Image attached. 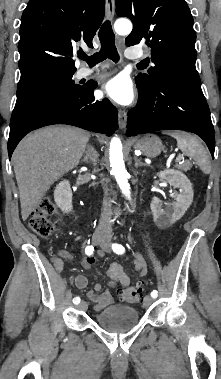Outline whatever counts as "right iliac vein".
<instances>
[{
    "label": "right iliac vein",
    "instance_id": "right-iliac-vein-1",
    "mask_svg": "<svg viewBox=\"0 0 221 379\" xmlns=\"http://www.w3.org/2000/svg\"><path fill=\"white\" fill-rule=\"evenodd\" d=\"M104 238L100 235H94L93 236V243L95 245H101L104 242ZM78 308L80 310H86L87 309V303L85 301H82L79 305Z\"/></svg>",
    "mask_w": 221,
    "mask_h": 379
}]
</instances>
